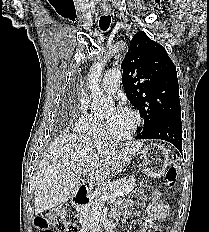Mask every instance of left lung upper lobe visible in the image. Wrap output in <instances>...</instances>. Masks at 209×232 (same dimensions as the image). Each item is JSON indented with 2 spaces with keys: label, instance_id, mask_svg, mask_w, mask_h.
Segmentation results:
<instances>
[{
  "label": "left lung upper lobe",
  "instance_id": "obj_1",
  "mask_svg": "<svg viewBox=\"0 0 209 232\" xmlns=\"http://www.w3.org/2000/svg\"><path fill=\"white\" fill-rule=\"evenodd\" d=\"M121 67L127 98L144 118V127L137 133L181 113L176 67L162 45L137 32Z\"/></svg>",
  "mask_w": 209,
  "mask_h": 232
}]
</instances>
